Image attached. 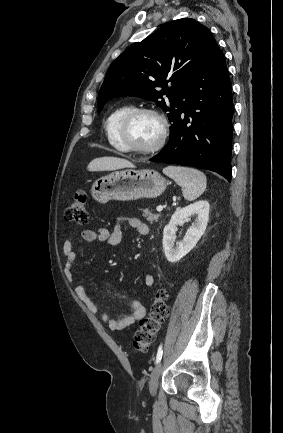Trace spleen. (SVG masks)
<instances>
[{
    "label": "spleen",
    "mask_w": 283,
    "mask_h": 433,
    "mask_svg": "<svg viewBox=\"0 0 283 433\" xmlns=\"http://www.w3.org/2000/svg\"><path fill=\"white\" fill-rule=\"evenodd\" d=\"M164 174L173 178L179 186H185L183 196L186 200H195L204 192L207 178L201 170L188 168V166H165Z\"/></svg>",
    "instance_id": "1"
}]
</instances>
